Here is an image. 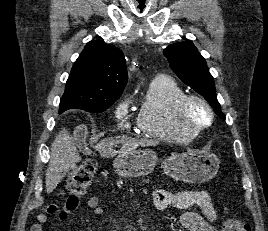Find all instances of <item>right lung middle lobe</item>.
<instances>
[{"label":"right lung middle lobe","mask_w":268,"mask_h":231,"mask_svg":"<svg viewBox=\"0 0 268 231\" xmlns=\"http://www.w3.org/2000/svg\"><path fill=\"white\" fill-rule=\"evenodd\" d=\"M117 99L103 101L98 104H77V103H63L59 105V113L64 112L67 109L78 108L88 112L100 113L108 109Z\"/></svg>","instance_id":"right-lung-middle-lobe-1"}]
</instances>
